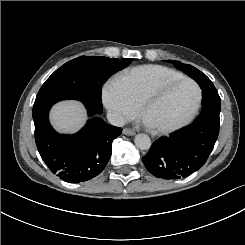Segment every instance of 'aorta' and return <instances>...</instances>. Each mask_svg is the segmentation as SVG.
I'll use <instances>...</instances> for the list:
<instances>
[{
  "label": "aorta",
  "instance_id": "aorta-1",
  "mask_svg": "<svg viewBox=\"0 0 245 245\" xmlns=\"http://www.w3.org/2000/svg\"><path fill=\"white\" fill-rule=\"evenodd\" d=\"M134 143L141 150H147L151 147V139L146 134H137Z\"/></svg>",
  "mask_w": 245,
  "mask_h": 245
}]
</instances>
